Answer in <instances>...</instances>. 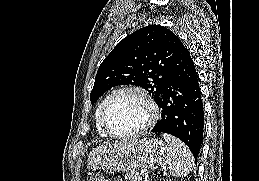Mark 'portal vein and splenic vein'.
<instances>
[{
	"instance_id": "18ae733b",
	"label": "portal vein and splenic vein",
	"mask_w": 259,
	"mask_h": 181,
	"mask_svg": "<svg viewBox=\"0 0 259 181\" xmlns=\"http://www.w3.org/2000/svg\"><path fill=\"white\" fill-rule=\"evenodd\" d=\"M141 175H142V176H147V175H148V173H147V171H146V170H142V171H141Z\"/></svg>"
}]
</instances>
